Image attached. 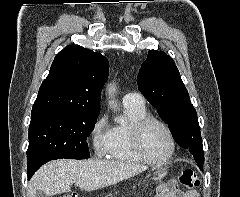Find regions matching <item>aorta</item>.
Masks as SVG:
<instances>
[{"label": "aorta", "instance_id": "1", "mask_svg": "<svg viewBox=\"0 0 240 197\" xmlns=\"http://www.w3.org/2000/svg\"><path fill=\"white\" fill-rule=\"evenodd\" d=\"M107 90H108L109 97L111 98V100L109 101V105H110V107L116 108V107H117V104H116V102H115L114 99H113V95H114V93L116 92V86H115V84H110V85H108ZM117 121H118V122H122L123 120L120 118V119H118Z\"/></svg>", "mask_w": 240, "mask_h": 197}]
</instances>
